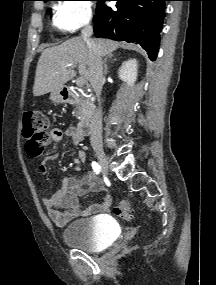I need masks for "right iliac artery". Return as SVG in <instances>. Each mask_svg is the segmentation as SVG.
I'll list each match as a JSON object with an SVG mask.
<instances>
[{
	"label": "right iliac artery",
	"mask_w": 216,
	"mask_h": 285,
	"mask_svg": "<svg viewBox=\"0 0 216 285\" xmlns=\"http://www.w3.org/2000/svg\"><path fill=\"white\" fill-rule=\"evenodd\" d=\"M92 168H93V170H94V172L96 173V174H99L100 173V166L98 165V163H96V162H92Z\"/></svg>",
	"instance_id": "1"
}]
</instances>
